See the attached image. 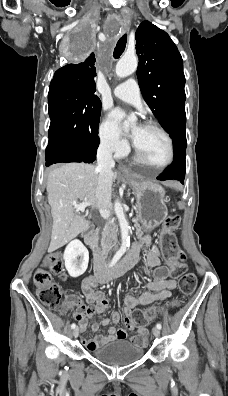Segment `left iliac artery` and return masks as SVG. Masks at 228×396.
<instances>
[{
	"label": "left iliac artery",
	"instance_id": "44dca946",
	"mask_svg": "<svg viewBox=\"0 0 228 396\" xmlns=\"http://www.w3.org/2000/svg\"><path fill=\"white\" fill-rule=\"evenodd\" d=\"M156 327H157L158 329H161V328H162V325H161L160 323H157Z\"/></svg>",
	"mask_w": 228,
	"mask_h": 396
}]
</instances>
